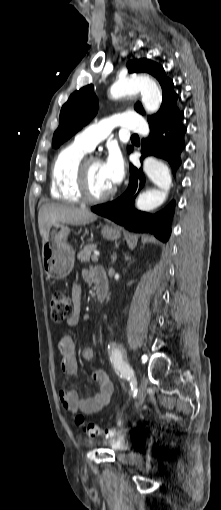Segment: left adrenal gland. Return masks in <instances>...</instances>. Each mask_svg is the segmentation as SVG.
Returning <instances> with one entry per match:
<instances>
[{"label":"left adrenal gland","mask_w":221,"mask_h":510,"mask_svg":"<svg viewBox=\"0 0 221 510\" xmlns=\"http://www.w3.org/2000/svg\"><path fill=\"white\" fill-rule=\"evenodd\" d=\"M116 259H117V255H116V252H115V253H113V255L111 256V260H112V261H111V263H114V262L116 261Z\"/></svg>","instance_id":"obj_1"}]
</instances>
